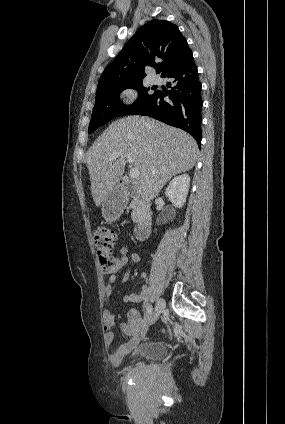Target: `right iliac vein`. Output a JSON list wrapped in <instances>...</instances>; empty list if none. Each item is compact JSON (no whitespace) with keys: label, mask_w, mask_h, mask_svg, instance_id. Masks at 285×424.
Masks as SVG:
<instances>
[{"label":"right iliac vein","mask_w":285,"mask_h":424,"mask_svg":"<svg viewBox=\"0 0 285 424\" xmlns=\"http://www.w3.org/2000/svg\"><path fill=\"white\" fill-rule=\"evenodd\" d=\"M164 308H165V301L162 298H160L156 303L155 314L151 317L152 322H155L158 319L159 315L164 310Z\"/></svg>","instance_id":"1"}]
</instances>
